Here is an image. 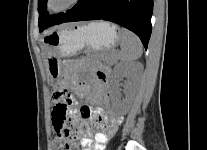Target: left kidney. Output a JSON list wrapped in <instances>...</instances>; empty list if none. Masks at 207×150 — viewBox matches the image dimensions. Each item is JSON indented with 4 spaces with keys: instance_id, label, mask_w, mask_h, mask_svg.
Returning a JSON list of instances; mask_svg holds the SVG:
<instances>
[{
    "instance_id": "5707ae66",
    "label": "left kidney",
    "mask_w": 207,
    "mask_h": 150,
    "mask_svg": "<svg viewBox=\"0 0 207 150\" xmlns=\"http://www.w3.org/2000/svg\"><path fill=\"white\" fill-rule=\"evenodd\" d=\"M141 74L138 63H118L111 78V102L112 107L119 115H126L130 110L137 93V82ZM126 77L128 79L125 90V97L121 99L119 81Z\"/></svg>"
}]
</instances>
